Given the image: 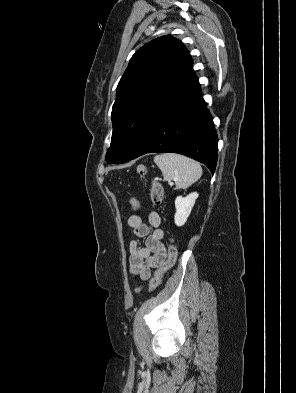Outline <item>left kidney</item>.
I'll return each instance as SVG.
<instances>
[{"label": "left kidney", "mask_w": 296, "mask_h": 393, "mask_svg": "<svg viewBox=\"0 0 296 393\" xmlns=\"http://www.w3.org/2000/svg\"><path fill=\"white\" fill-rule=\"evenodd\" d=\"M198 196L199 194L197 192H193L186 197L178 196L175 199L176 213L174 221L177 226H183L185 224Z\"/></svg>", "instance_id": "5707ae66"}]
</instances>
